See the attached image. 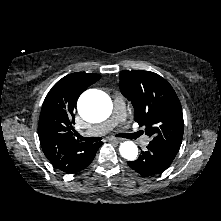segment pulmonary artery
<instances>
[{"label":"pulmonary artery","mask_w":221,"mask_h":221,"mask_svg":"<svg viewBox=\"0 0 221 221\" xmlns=\"http://www.w3.org/2000/svg\"><path fill=\"white\" fill-rule=\"evenodd\" d=\"M125 119V102L121 95H118L114 99V111L112 116L104 123L96 126L94 131L97 134H105L111 131L116 125ZM150 138L148 136H143L141 139L142 146H147L149 144Z\"/></svg>","instance_id":"pulmonary-artery-1"}]
</instances>
